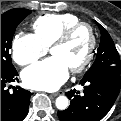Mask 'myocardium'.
I'll list each match as a JSON object with an SVG mask.
<instances>
[{
    "label": "myocardium",
    "mask_w": 121,
    "mask_h": 121,
    "mask_svg": "<svg viewBox=\"0 0 121 121\" xmlns=\"http://www.w3.org/2000/svg\"><path fill=\"white\" fill-rule=\"evenodd\" d=\"M86 29L90 37V45L85 58L78 65L70 68L71 72H82L92 61L97 47V36L93 26L87 22L76 23L65 29L58 38L52 43L51 49L55 46L63 45L70 40V38L80 29Z\"/></svg>",
    "instance_id": "1"
}]
</instances>
